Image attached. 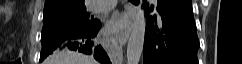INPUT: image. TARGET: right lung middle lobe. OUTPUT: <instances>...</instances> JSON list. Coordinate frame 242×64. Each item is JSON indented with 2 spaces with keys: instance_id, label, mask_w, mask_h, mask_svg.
Listing matches in <instances>:
<instances>
[{
  "instance_id": "dd1d6c3e",
  "label": "right lung middle lobe",
  "mask_w": 242,
  "mask_h": 64,
  "mask_svg": "<svg viewBox=\"0 0 242 64\" xmlns=\"http://www.w3.org/2000/svg\"><path fill=\"white\" fill-rule=\"evenodd\" d=\"M99 25L98 20L86 13L85 6L44 13L42 50L55 41L89 32Z\"/></svg>"
}]
</instances>
